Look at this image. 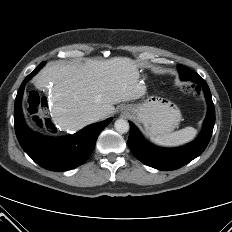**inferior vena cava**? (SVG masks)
<instances>
[{
	"label": "inferior vena cava",
	"mask_w": 232,
	"mask_h": 232,
	"mask_svg": "<svg viewBox=\"0 0 232 232\" xmlns=\"http://www.w3.org/2000/svg\"><path fill=\"white\" fill-rule=\"evenodd\" d=\"M105 116L104 112H94L92 113L90 120L91 122L98 121L99 119L103 118Z\"/></svg>",
	"instance_id": "obj_1"
}]
</instances>
